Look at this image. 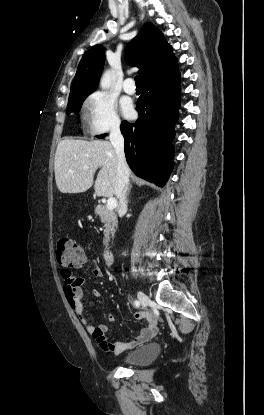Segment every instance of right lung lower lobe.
I'll use <instances>...</instances> for the list:
<instances>
[{
	"instance_id": "1",
	"label": "right lung lower lobe",
	"mask_w": 264,
	"mask_h": 415,
	"mask_svg": "<svg viewBox=\"0 0 264 415\" xmlns=\"http://www.w3.org/2000/svg\"><path fill=\"white\" fill-rule=\"evenodd\" d=\"M180 73L146 81L136 102L139 118L135 123L123 121L121 133L125 155L132 171L139 177L163 187L173 162L171 140L180 105ZM104 138V135L97 136Z\"/></svg>"
}]
</instances>
